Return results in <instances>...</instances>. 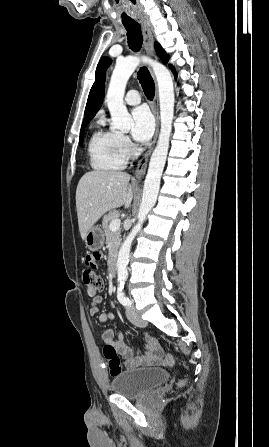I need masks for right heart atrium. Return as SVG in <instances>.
<instances>
[{
  "mask_svg": "<svg viewBox=\"0 0 269 447\" xmlns=\"http://www.w3.org/2000/svg\"><path fill=\"white\" fill-rule=\"evenodd\" d=\"M121 149L125 156H130L134 151V145L128 136L120 134Z\"/></svg>",
  "mask_w": 269,
  "mask_h": 447,
  "instance_id": "right-heart-atrium-1",
  "label": "right heart atrium"
}]
</instances>
